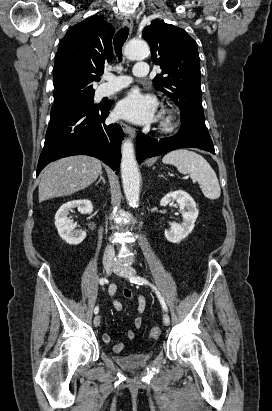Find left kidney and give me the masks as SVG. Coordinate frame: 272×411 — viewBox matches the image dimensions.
<instances>
[{
    "instance_id": "left-kidney-1",
    "label": "left kidney",
    "mask_w": 272,
    "mask_h": 411,
    "mask_svg": "<svg viewBox=\"0 0 272 411\" xmlns=\"http://www.w3.org/2000/svg\"><path fill=\"white\" fill-rule=\"evenodd\" d=\"M176 200L181 209L183 222L171 224L170 229L165 230V237L169 242L179 243L185 239L194 229V223L198 217V209L193 198L185 191L169 192L160 201V206H167Z\"/></svg>"
}]
</instances>
